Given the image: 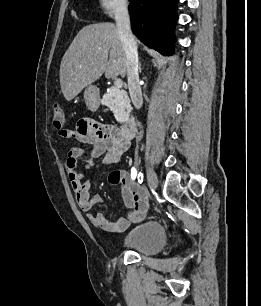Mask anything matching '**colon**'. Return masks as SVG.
I'll return each mask as SVG.
<instances>
[{
  "label": "colon",
  "mask_w": 261,
  "mask_h": 306,
  "mask_svg": "<svg viewBox=\"0 0 261 306\" xmlns=\"http://www.w3.org/2000/svg\"><path fill=\"white\" fill-rule=\"evenodd\" d=\"M51 120L53 129H55L59 132V134H61L63 132L62 127L65 122V114L63 109L58 104H55L53 107ZM121 179L122 176L117 171H114L110 174V180L114 183L121 181Z\"/></svg>",
  "instance_id": "1"
}]
</instances>
